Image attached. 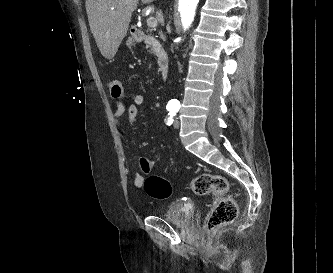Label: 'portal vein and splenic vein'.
Returning <instances> with one entry per match:
<instances>
[{
	"label": "portal vein and splenic vein",
	"instance_id": "18ae733b",
	"mask_svg": "<svg viewBox=\"0 0 333 273\" xmlns=\"http://www.w3.org/2000/svg\"><path fill=\"white\" fill-rule=\"evenodd\" d=\"M112 10H114V8H112ZM147 25H148L149 27L154 28V27L157 26V20H156L154 17H149V18L147 19Z\"/></svg>",
	"mask_w": 333,
	"mask_h": 273
}]
</instances>
